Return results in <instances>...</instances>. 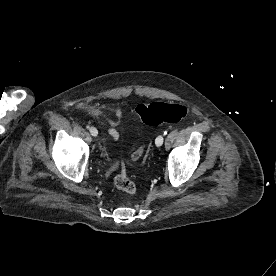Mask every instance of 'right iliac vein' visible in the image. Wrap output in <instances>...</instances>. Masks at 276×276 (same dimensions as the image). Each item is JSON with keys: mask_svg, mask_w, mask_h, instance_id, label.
I'll return each instance as SVG.
<instances>
[{"mask_svg": "<svg viewBox=\"0 0 276 276\" xmlns=\"http://www.w3.org/2000/svg\"><path fill=\"white\" fill-rule=\"evenodd\" d=\"M90 133L92 136L96 137L98 135V131L95 127L90 128Z\"/></svg>", "mask_w": 276, "mask_h": 276, "instance_id": "obj_1", "label": "right iliac vein"}]
</instances>
